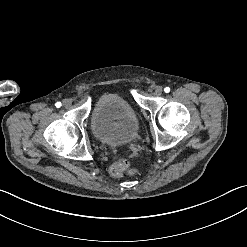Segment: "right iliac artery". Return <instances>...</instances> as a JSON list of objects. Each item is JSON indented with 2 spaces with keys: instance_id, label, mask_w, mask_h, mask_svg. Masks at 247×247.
<instances>
[{
  "instance_id": "right-iliac-artery-1",
  "label": "right iliac artery",
  "mask_w": 247,
  "mask_h": 247,
  "mask_svg": "<svg viewBox=\"0 0 247 247\" xmlns=\"http://www.w3.org/2000/svg\"><path fill=\"white\" fill-rule=\"evenodd\" d=\"M61 102H57L56 104H55V106L57 107V108H60L61 107Z\"/></svg>"
}]
</instances>
